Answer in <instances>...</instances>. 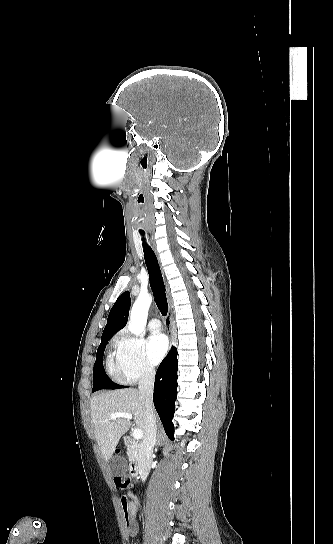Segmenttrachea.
I'll use <instances>...</instances> for the list:
<instances>
[{"mask_svg": "<svg viewBox=\"0 0 333 544\" xmlns=\"http://www.w3.org/2000/svg\"><path fill=\"white\" fill-rule=\"evenodd\" d=\"M141 234L144 235L143 233ZM143 248H144V259H145V263L147 266L149 279H150V286L154 295L156 305L158 309L160 310L161 314L163 316H166L168 312V304L166 299L163 277L161 274V270H160L156 255L154 254V251L152 250V248L147 245L144 237H143Z\"/></svg>", "mask_w": 333, "mask_h": 544, "instance_id": "trachea-1", "label": "trachea"}]
</instances>
